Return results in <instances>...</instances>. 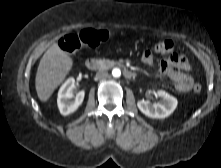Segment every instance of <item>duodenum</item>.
<instances>
[{
    "mask_svg": "<svg viewBox=\"0 0 221 168\" xmlns=\"http://www.w3.org/2000/svg\"><path fill=\"white\" fill-rule=\"evenodd\" d=\"M85 65L89 70H97L101 66L100 62L96 58H88L85 62ZM123 74L128 79L135 77V72L127 68L123 69Z\"/></svg>",
    "mask_w": 221,
    "mask_h": 168,
    "instance_id": "obj_1",
    "label": "duodenum"
}]
</instances>
